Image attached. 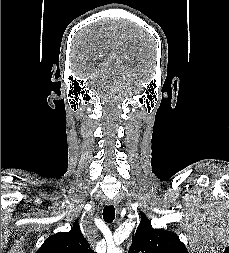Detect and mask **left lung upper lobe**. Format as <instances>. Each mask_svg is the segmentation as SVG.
I'll use <instances>...</instances> for the list:
<instances>
[{
    "label": "left lung upper lobe",
    "instance_id": "1",
    "mask_svg": "<svg viewBox=\"0 0 229 253\" xmlns=\"http://www.w3.org/2000/svg\"><path fill=\"white\" fill-rule=\"evenodd\" d=\"M128 253H188L179 237L162 229H153L151 221L141 215Z\"/></svg>",
    "mask_w": 229,
    "mask_h": 253
}]
</instances>
